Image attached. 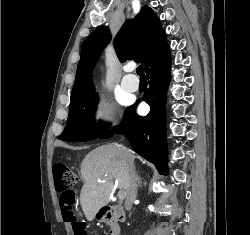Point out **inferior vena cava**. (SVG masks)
I'll return each mask as SVG.
<instances>
[{
  "label": "inferior vena cava",
  "instance_id": "obj_1",
  "mask_svg": "<svg viewBox=\"0 0 250 235\" xmlns=\"http://www.w3.org/2000/svg\"><path fill=\"white\" fill-rule=\"evenodd\" d=\"M119 151L123 162L128 165L130 184L127 191L125 208L126 210H131L132 204L137 195L138 176L136 175L135 168L133 166V156L130 154L129 150L121 145L119 146Z\"/></svg>",
  "mask_w": 250,
  "mask_h": 235
}]
</instances>
